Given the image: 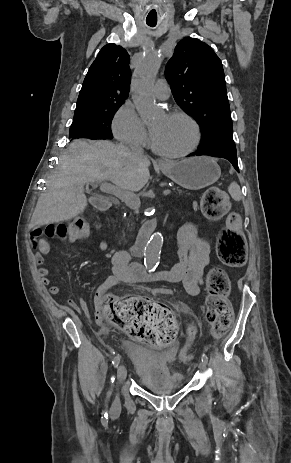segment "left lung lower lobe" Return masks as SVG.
<instances>
[{
  "label": "left lung lower lobe",
  "instance_id": "0a47b994",
  "mask_svg": "<svg viewBox=\"0 0 291 463\" xmlns=\"http://www.w3.org/2000/svg\"><path fill=\"white\" fill-rule=\"evenodd\" d=\"M201 155H209L213 157H220L229 160L234 168L239 172L238 168V161L236 152H227V151H216V150H200L198 149L196 152L190 154V156H201Z\"/></svg>",
  "mask_w": 291,
  "mask_h": 463
}]
</instances>
